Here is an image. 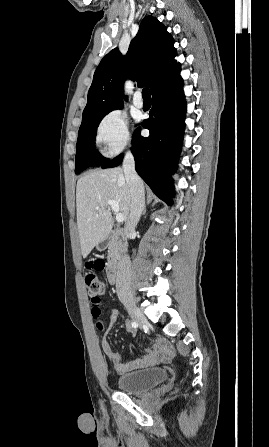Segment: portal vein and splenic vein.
<instances>
[{
  "instance_id": "18ae733b",
  "label": "portal vein and splenic vein",
  "mask_w": 269,
  "mask_h": 447,
  "mask_svg": "<svg viewBox=\"0 0 269 447\" xmlns=\"http://www.w3.org/2000/svg\"><path fill=\"white\" fill-rule=\"evenodd\" d=\"M107 204H109V206H111V210L115 212L117 222H123L124 218L122 214H119L118 202H116V200H107ZM95 210H99V206H96Z\"/></svg>"
}]
</instances>
